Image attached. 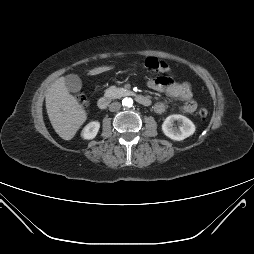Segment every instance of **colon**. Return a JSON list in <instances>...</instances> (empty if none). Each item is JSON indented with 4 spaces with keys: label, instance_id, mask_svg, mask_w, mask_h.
I'll list each match as a JSON object with an SVG mask.
<instances>
[{
    "label": "colon",
    "instance_id": "5ec220e1",
    "mask_svg": "<svg viewBox=\"0 0 254 254\" xmlns=\"http://www.w3.org/2000/svg\"><path fill=\"white\" fill-rule=\"evenodd\" d=\"M143 64L145 68L160 73H168L170 71L169 65L165 61L157 59L155 57L146 58ZM78 100L82 105H87V99L82 93L78 94ZM198 115L201 118H205L208 115V110L206 108H200L198 110Z\"/></svg>",
    "mask_w": 254,
    "mask_h": 254
}]
</instances>
